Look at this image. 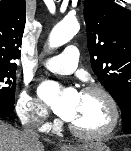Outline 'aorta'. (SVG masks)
I'll list each match as a JSON object with an SVG mask.
<instances>
[{"instance_id": "762f6f07", "label": "aorta", "mask_w": 131, "mask_h": 151, "mask_svg": "<svg viewBox=\"0 0 131 151\" xmlns=\"http://www.w3.org/2000/svg\"><path fill=\"white\" fill-rule=\"evenodd\" d=\"M79 30L76 19H64L52 30L49 42L51 47H59L67 43Z\"/></svg>"}]
</instances>
